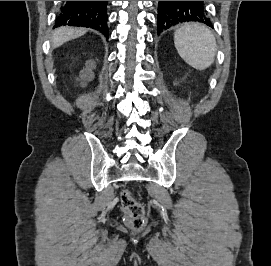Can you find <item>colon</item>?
Masks as SVG:
<instances>
[{"label": "colon", "instance_id": "colon-1", "mask_svg": "<svg viewBox=\"0 0 271 266\" xmlns=\"http://www.w3.org/2000/svg\"><path fill=\"white\" fill-rule=\"evenodd\" d=\"M121 204L126 212L125 221L127 225L135 231H141L146 224V213L143 205L136 200L128 189L121 193Z\"/></svg>", "mask_w": 271, "mask_h": 266}]
</instances>
